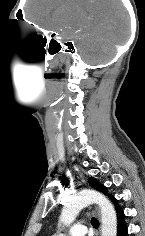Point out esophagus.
Returning a JSON list of instances; mask_svg holds the SVG:
<instances>
[{
    "label": "esophagus",
    "mask_w": 145,
    "mask_h": 236,
    "mask_svg": "<svg viewBox=\"0 0 145 236\" xmlns=\"http://www.w3.org/2000/svg\"><path fill=\"white\" fill-rule=\"evenodd\" d=\"M95 212L97 213V215L99 216V218H100V210H99V208L96 206L95 207Z\"/></svg>",
    "instance_id": "1"
}]
</instances>
